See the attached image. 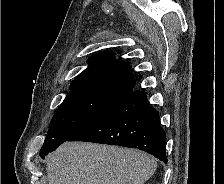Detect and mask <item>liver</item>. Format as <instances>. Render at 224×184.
Instances as JSON below:
<instances>
[{
  "label": "liver",
  "instance_id": "obj_1",
  "mask_svg": "<svg viewBox=\"0 0 224 184\" xmlns=\"http://www.w3.org/2000/svg\"><path fill=\"white\" fill-rule=\"evenodd\" d=\"M156 168L147 153L84 142H65L46 159L49 184H144Z\"/></svg>",
  "mask_w": 224,
  "mask_h": 184
}]
</instances>
